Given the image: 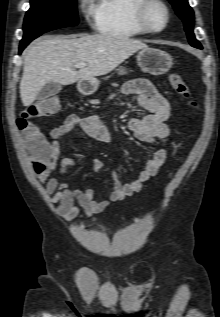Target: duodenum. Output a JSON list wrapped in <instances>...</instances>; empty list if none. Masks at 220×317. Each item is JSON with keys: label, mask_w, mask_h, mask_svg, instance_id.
<instances>
[{"label": "duodenum", "mask_w": 220, "mask_h": 317, "mask_svg": "<svg viewBox=\"0 0 220 317\" xmlns=\"http://www.w3.org/2000/svg\"><path fill=\"white\" fill-rule=\"evenodd\" d=\"M81 89H82V91L85 92V93L90 90V88H89V87H86V86H81Z\"/></svg>", "instance_id": "410a0bca"}]
</instances>
